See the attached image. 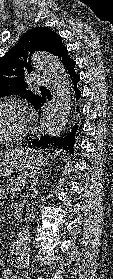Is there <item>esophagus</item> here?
<instances>
[{"label":"esophagus","instance_id":"1","mask_svg":"<svg viewBox=\"0 0 113 279\" xmlns=\"http://www.w3.org/2000/svg\"><path fill=\"white\" fill-rule=\"evenodd\" d=\"M51 107H52V109L54 108V104H55V95H53V97H52V100H51ZM43 129H44V121L41 123V125H40V131L42 132L43 131Z\"/></svg>","mask_w":113,"mask_h":279}]
</instances>
